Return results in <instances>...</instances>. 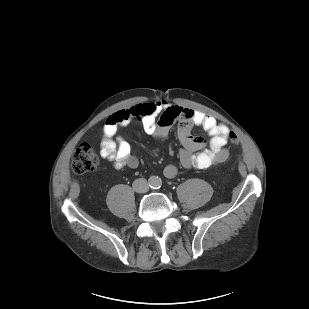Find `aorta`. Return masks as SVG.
Listing matches in <instances>:
<instances>
[{"label":"aorta","mask_w":309,"mask_h":309,"mask_svg":"<svg viewBox=\"0 0 309 309\" xmlns=\"http://www.w3.org/2000/svg\"><path fill=\"white\" fill-rule=\"evenodd\" d=\"M162 184L161 179L158 176H151L149 178V185L153 188H159Z\"/></svg>","instance_id":"1"}]
</instances>
